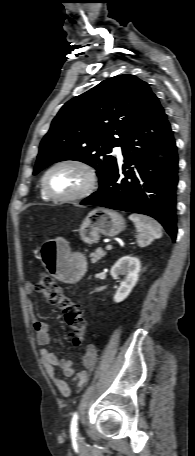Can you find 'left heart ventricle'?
Wrapping results in <instances>:
<instances>
[{"label": "left heart ventricle", "instance_id": "b2bd125f", "mask_svg": "<svg viewBox=\"0 0 195 456\" xmlns=\"http://www.w3.org/2000/svg\"><path fill=\"white\" fill-rule=\"evenodd\" d=\"M87 183V175L81 168L73 165L54 169L47 178L49 190L61 196L79 192Z\"/></svg>", "mask_w": 195, "mask_h": 456}]
</instances>
